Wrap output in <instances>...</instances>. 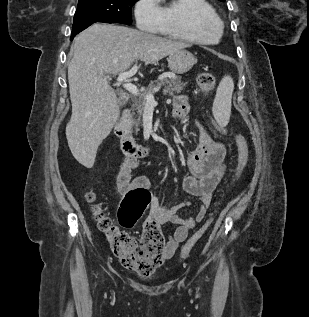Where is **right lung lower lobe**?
I'll return each instance as SVG.
<instances>
[{
  "label": "right lung lower lobe",
  "instance_id": "1",
  "mask_svg": "<svg viewBox=\"0 0 309 317\" xmlns=\"http://www.w3.org/2000/svg\"><path fill=\"white\" fill-rule=\"evenodd\" d=\"M93 23H95V22H85V23H82V24H79V25L73 27L70 40H73V38H74L79 32H81L82 30L86 29L87 27H89V26H90L91 24H93Z\"/></svg>",
  "mask_w": 309,
  "mask_h": 317
}]
</instances>
